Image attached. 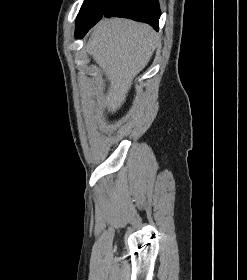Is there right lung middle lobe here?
Masks as SVG:
<instances>
[{
  "mask_svg": "<svg viewBox=\"0 0 247 280\" xmlns=\"http://www.w3.org/2000/svg\"><path fill=\"white\" fill-rule=\"evenodd\" d=\"M110 2L111 0H84L77 17L76 26L100 17Z\"/></svg>",
  "mask_w": 247,
  "mask_h": 280,
  "instance_id": "dd1d6c3e",
  "label": "right lung middle lobe"
}]
</instances>
